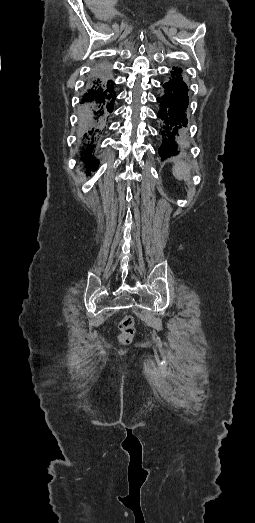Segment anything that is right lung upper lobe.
<instances>
[{"mask_svg":"<svg viewBox=\"0 0 255 523\" xmlns=\"http://www.w3.org/2000/svg\"><path fill=\"white\" fill-rule=\"evenodd\" d=\"M88 90L83 96L80 104L86 103L88 108L83 110L81 108L82 118V138L83 149L81 151V161L88 167L98 166L99 162L93 154L95 142L99 139L104 131L106 124L115 108L116 94L114 82L110 78L109 73L101 67H98L96 72L91 76L87 84ZM97 98L99 105L92 107L90 100ZM90 142L92 148L87 150L85 144Z\"/></svg>","mask_w":255,"mask_h":523,"instance_id":"cb5924a9","label":"right lung upper lobe"}]
</instances>
